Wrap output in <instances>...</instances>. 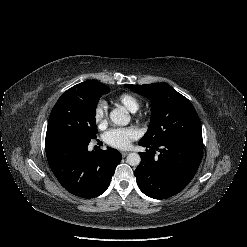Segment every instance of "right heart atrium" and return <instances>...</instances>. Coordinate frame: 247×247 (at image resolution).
<instances>
[{
  "instance_id": "right-heart-atrium-1",
  "label": "right heart atrium",
  "mask_w": 247,
  "mask_h": 247,
  "mask_svg": "<svg viewBox=\"0 0 247 247\" xmlns=\"http://www.w3.org/2000/svg\"><path fill=\"white\" fill-rule=\"evenodd\" d=\"M94 120L98 125H103L107 121L108 106L104 101H98L93 109Z\"/></svg>"
}]
</instances>
